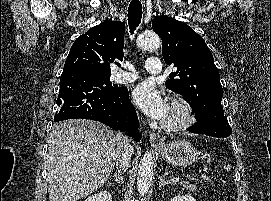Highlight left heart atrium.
<instances>
[{"mask_svg": "<svg viewBox=\"0 0 271 201\" xmlns=\"http://www.w3.org/2000/svg\"><path fill=\"white\" fill-rule=\"evenodd\" d=\"M133 102L146 115L165 120L169 114V105L162 92L151 82L145 81L135 87L132 92Z\"/></svg>", "mask_w": 271, "mask_h": 201, "instance_id": "1", "label": "left heart atrium"}]
</instances>
